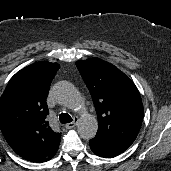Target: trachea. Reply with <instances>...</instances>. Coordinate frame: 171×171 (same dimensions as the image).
I'll return each instance as SVG.
<instances>
[{
    "mask_svg": "<svg viewBox=\"0 0 171 171\" xmlns=\"http://www.w3.org/2000/svg\"><path fill=\"white\" fill-rule=\"evenodd\" d=\"M59 120L62 124L70 123V122H72V117L67 113H61L59 115Z\"/></svg>",
    "mask_w": 171,
    "mask_h": 171,
    "instance_id": "trachea-1",
    "label": "trachea"
}]
</instances>
